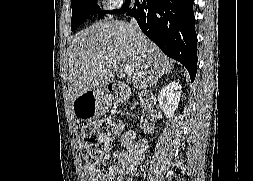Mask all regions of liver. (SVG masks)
I'll list each match as a JSON object with an SVG mask.
<instances>
[{
  "label": "liver",
  "mask_w": 253,
  "mask_h": 181,
  "mask_svg": "<svg viewBox=\"0 0 253 181\" xmlns=\"http://www.w3.org/2000/svg\"><path fill=\"white\" fill-rule=\"evenodd\" d=\"M68 87L72 101L88 91L113 81L120 63L134 67L132 83L144 90L153 86L174 68L158 46L131 23L117 20L97 21L77 33L69 52Z\"/></svg>",
  "instance_id": "1"
}]
</instances>
